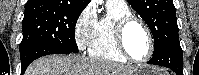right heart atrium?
Masks as SVG:
<instances>
[{"mask_svg":"<svg viewBox=\"0 0 199 75\" xmlns=\"http://www.w3.org/2000/svg\"><path fill=\"white\" fill-rule=\"evenodd\" d=\"M98 27V18L96 11L91 7H86L78 17L74 35L77 46L80 50H85L94 39Z\"/></svg>","mask_w":199,"mask_h":75,"instance_id":"d8ad5b80","label":"right heart atrium"}]
</instances>
